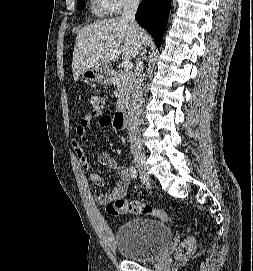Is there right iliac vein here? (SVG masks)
I'll use <instances>...</instances> for the list:
<instances>
[{
  "instance_id": "right-iliac-vein-1",
  "label": "right iliac vein",
  "mask_w": 253,
  "mask_h": 271,
  "mask_svg": "<svg viewBox=\"0 0 253 271\" xmlns=\"http://www.w3.org/2000/svg\"><path fill=\"white\" fill-rule=\"evenodd\" d=\"M134 162L136 164L137 169L142 174L144 179L148 180L149 175L147 173V168L145 164L146 156L143 150L134 151L133 152Z\"/></svg>"
}]
</instances>
